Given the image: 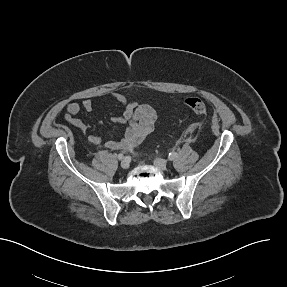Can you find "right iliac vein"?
Returning <instances> with one entry per match:
<instances>
[{
    "label": "right iliac vein",
    "instance_id": "1",
    "mask_svg": "<svg viewBox=\"0 0 287 287\" xmlns=\"http://www.w3.org/2000/svg\"><path fill=\"white\" fill-rule=\"evenodd\" d=\"M129 166H130V163H129V161L127 159H124V160L121 161V167L123 169H128Z\"/></svg>",
    "mask_w": 287,
    "mask_h": 287
}]
</instances>
